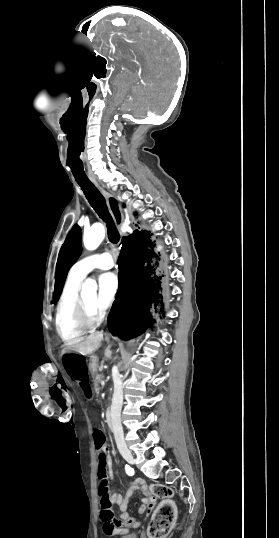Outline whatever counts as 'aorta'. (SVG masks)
<instances>
[{
  "label": "aorta",
  "mask_w": 279,
  "mask_h": 538,
  "mask_svg": "<svg viewBox=\"0 0 279 538\" xmlns=\"http://www.w3.org/2000/svg\"><path fill=\"white\" fill-rule=\"evenodd\" d=\"M105 228L101 223H96L84 232L83 243L87 250H95L103 241ZM97 283L88 278L82 285L81 294L84 297H95Z\"/></svg>",
  "instance_id": "aorta-1"
}]
</instances>
